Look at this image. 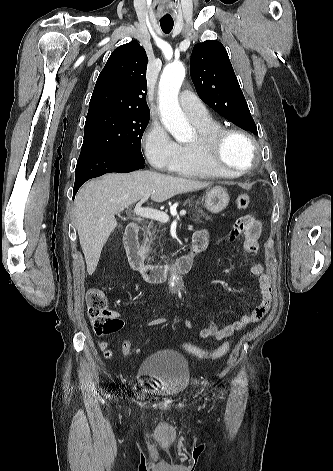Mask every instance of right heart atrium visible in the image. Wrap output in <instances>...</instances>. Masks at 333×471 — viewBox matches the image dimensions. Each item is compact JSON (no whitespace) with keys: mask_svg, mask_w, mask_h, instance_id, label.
Returning a JSON list of instances; mask_svg holds the SVG:
<instances>
[{"mask_svg":"<svg viewBox=\"0 0 333 471\" xmlns=\"http://www.w3.org/2000/svg\"><path fill=\"white\" fill-rule=\"evenodd\" d=\"M149 163L157 170L170 171L179 156V145L159 122H152L142 139Z\"/></svg>","mask_w":333,"mask_h":471,"instance_id":"1","label":"right heart atrium"}]
</instances>
